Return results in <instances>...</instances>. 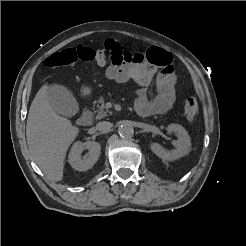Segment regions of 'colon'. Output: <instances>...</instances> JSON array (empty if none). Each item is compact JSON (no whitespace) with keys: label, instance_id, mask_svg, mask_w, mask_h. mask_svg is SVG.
I'll use <instances>...</instances> for the list:
<instances>
[{"label":"colon","instance_id":"1","mask_svg":"<svg viewBox=\"0 0 246 246\" xmlns=\"http://www.w3.org/2000/svg\"><path fill=\"white\" fill-rule=\"evenodd\" d=\"M116 53H118L116 51ZM110 59V53L107 50L93 49L86 46H76L49 56L45 65L48 67L70 66L77 62H95L98 65H104ZM198 112V102L194 96H188L184 103V115L188 121H193Z\"/></svg>","mask_w":246,"mask_h":246}]
</instances>
